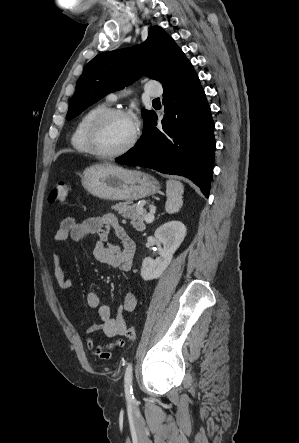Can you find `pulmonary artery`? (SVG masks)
<instances>
[{
	"mask_svg": "<svg viewBox=\"0 0 299 443\" xmlns=\"http://www.w3.org/2000/svg\"><path fill=\"white\" fill-rule=\"evenodd\" d=\"M125 92L126 91L110 93L107 95V101L115 102L119 98V96ZM145 93L151 97H159L160 95H162V88L156 82H148L145 85Z\"/></svg>",
	"mask_w": 299,
	"mask_h": 443,
	"instance_id": "1",
	"label": "pulmonary artery"
}]
</instances>
